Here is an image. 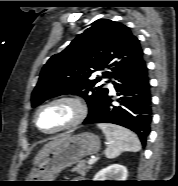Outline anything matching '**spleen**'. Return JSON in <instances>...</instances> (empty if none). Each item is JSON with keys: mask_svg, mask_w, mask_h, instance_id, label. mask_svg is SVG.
<instances>
[{"mask_svg": "<svg viewBox=\"0 0 178 186\" xmlns=\"http://www.w3.org/2000/svg\"><path fill=\"white\" fill-rule=\"evenodd\" d=\"M98 127L103 131L107 140V148L105 150L107 158H116L124 151H140V141L132 131L118 125L107 123H100Z\"/></svg>", "mask_w": 178, "mask_h": 186, "instance_id": "obj_1", "label": "spleen"}]
</instances>
